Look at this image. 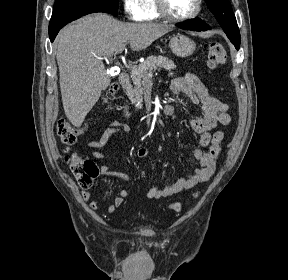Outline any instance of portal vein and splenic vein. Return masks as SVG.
I'll return each instance as SVG.
<instances>
[{
    "label": "portal vein and splenic vein",
    "mask_w": 288,
    "mask_h": 280,
    "mask_svg": "<svg viewBox=\"0 0 288 280\" xmlns=\"http://www.w3.org/2000/svg\"><path fill=\"white\" fill-rule=\"evenodd\" d=\"M124 49H125V44L122 45L121 48L117 52H115V54L121 53ZM128 68H130L132 71H135V66L130 65L128 66ZM149 77L151 78L152 74L149 75Z\"/></svg>",
    "instance_id": "1"
}]
</instances>
